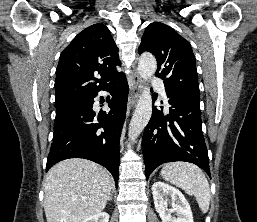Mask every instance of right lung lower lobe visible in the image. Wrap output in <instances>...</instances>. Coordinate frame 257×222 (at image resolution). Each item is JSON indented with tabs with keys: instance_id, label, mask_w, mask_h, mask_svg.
<instances>
[{
	"instance_id": "obj_1",
	"label": "right lung lower lobe",
	"mask_w": 257,
	"mask_h": 222,
	"mask_svg": "<svg viewBox=\"0 0 257 222\" xmlns=\"http://www.w3.org/2000/svg\"><path fill=\"white\" fill-rule=\"evenodd\" d=\"M109 86L112 88L107 86L103 89L110 90L112 94L108 114L104 112L95 117L92 109L95 94L86 101L85 106L73 107L56 115L46 171L64 159H89L107 168L118 187L119 140L128 99L125 75L119 74Z\"/></svg>"
}]
</instances>
